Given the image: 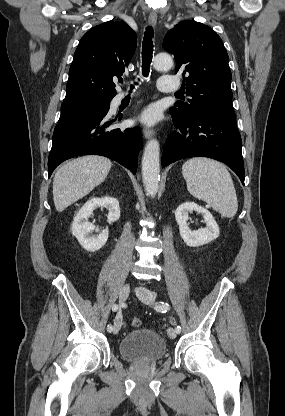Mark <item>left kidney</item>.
<instances>
[{"label":"left kidney","mask_w":285,"mask_h":416,"mask_svg":"<svg viewBox=\"0 0 285 416\" xmlns=\"http://www.w3.org/2000/svg\"><path fill=\"white\" fill-rule=\"evenodd\" d=\"M189 212H199L203 214L204 222L207 228H201V230H190L187 226L189 220ZM176 222L179 226L180 236L184 240L186 246H191V248H197V246H204V244H209L212 240H216L219 236V226L215 222L212 214L197 206L194 202H185V204H180L175 212Z\"/></svg>","instance_id":"1"}]
</instances>
